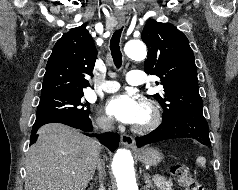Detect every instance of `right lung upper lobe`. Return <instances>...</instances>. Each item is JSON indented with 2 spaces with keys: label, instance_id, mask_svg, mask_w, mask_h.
I'll list each match as a JSON object with an SVG mask.
<instances>
[{
  "label": "right lung upper lobe",
  "instance_id": "1",
  "mask_svg": "<svg viewBox=\"0 0 238 190\" xmlns=\"http://www.w3.org/2000/svg\"><path fill=\"white\" fill-rule=\"evenodd\" d=\"M97 50L83 24L70 29L57 41L46 65L41 98L83 92L89 86L85 75H91Z\"/></svg>",
  "mask_w": 238,
  "mask_h": 190
}]
</instances>
